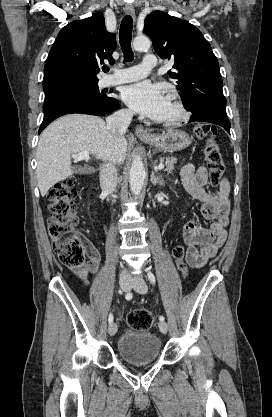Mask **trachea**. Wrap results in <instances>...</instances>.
<instances>
[{
    "mask_svg": "<svg viewBox=\"0 0 272 417\" xmlns=\"http://www.w3.org/2000/svg\"><path fill=\"white\" fill-rule=\"evenodd\" d=\"M132 27L133 19L130 15H127L123 18L120 26L119 32V42L124 54V61H131L134 58V54L131 48V39H132ZM104 72H108L109 68L104 67Z\"/></svg>",
    "mask_w": 272,
    "mask_h": 417,
    "instance_id": "trachea-1",
    "label": "trachea"
}]
</instances>
